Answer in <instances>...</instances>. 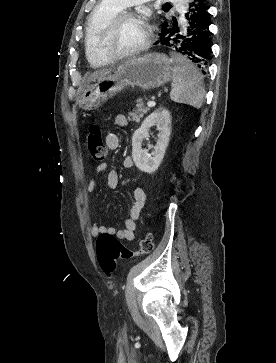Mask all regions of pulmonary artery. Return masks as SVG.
Listing matches in <instances>:
<instances>
[{
	"instance_id": "e3ab8cb5",
	"label": "pulmonary artery",
	"mask_w": 276,
	"mask_h": 363,
	"mask_svg": "<svg viewBox=\"0 0 276 363\" xmlns=\"http://www.w3.org/2000/svg\"><path fill=\"white\" fill-rule=\"evenodd\" d=\"M110 1L114 2L120 8H125V7H129L131 5H134V4L143 3L147 0H110ZM159 1L168 2L171 0H159ZM177 1L179 4L184 3V0H177Z\"/></svg>"
}]
</instances>
